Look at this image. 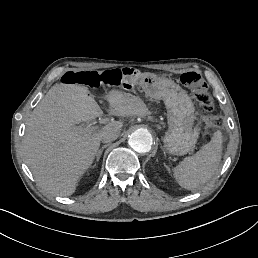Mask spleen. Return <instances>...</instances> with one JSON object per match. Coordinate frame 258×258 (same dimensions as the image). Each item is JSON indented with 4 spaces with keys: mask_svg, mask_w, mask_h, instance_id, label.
Wrapping results in <instances>:
<instances>
[{
    "mask_svg": "<svg viewBox=\"0 0 258 258\" xmlns=\"http://www.w3.org/2000/svg\"><path fill=\"white\" fill-rule=\"evenodd\" d=\"M221 153L222 133L216 131L209 143L174 168L178 184L187 190H194L207 183L218 169Z\"/></svg>",
    "mask_w": 258,
    "mask_h": 258,
    "instance_id": "3e777b00",
    "label": "spleen"
}]
</instances>
